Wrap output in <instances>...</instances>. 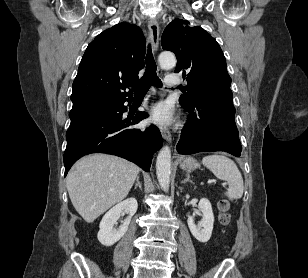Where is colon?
Returning a JSON list of instances; mask_svg holds the SVG:
<instances>
[{"label": "colon", "mask_w": 308, "mask_h": 278, "mask_svg": "<svg viewBox=\"0 0 308 278\" xmlns=\"http://www.w3.org/2000/svg\"><path fill=\"white\" fill-rule=\"evenodd\" d=\"M218 207L220 211L219 220L221 224L223 225L229 224L231 220L230 203L227 200L222 199L220 200Z\"/></svg>", "instance_id": "1"}]
</instances>
